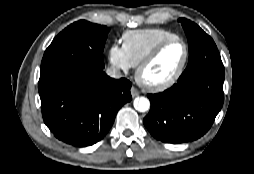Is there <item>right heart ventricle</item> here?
Wrapping results in <instances>:
<instances>
[{
    "label": "right heart ventricle",
    "instance_id": "1",
    "mask_svg": "<svg viewBox=\"0 0 254 174\" xmlns=\"http://www.w3.org/2000/svg\"><path fill=\"white\" fill-rule=\"evenodd\" d=\"M177 35L164 28H145L128 30L122 34V47L133 67L138 66L142 59L159 42Z\"/></svg>",
    "mask_w": 254,
    "mask_h": 174
}]
</instances>
